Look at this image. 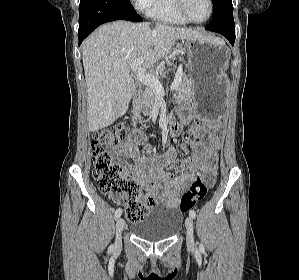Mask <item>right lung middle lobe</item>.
Instances as JSON below:
<instances>
[{"mask_svg": "<svg viewBox=\"0 0 299 280\" xmlns=\"http://www.w3.org/2000/svg\"><path fill=\"white\" fill-rule=\"evenodd\" d=\"M123 1L126 2L128 5H130L132 7V5L130 3V0H123Z\"/></svg>", "mask_w": 299, "mask_h": 280, "instance_id": "1", "label": "right lung middle lobe"}]
</instances>
